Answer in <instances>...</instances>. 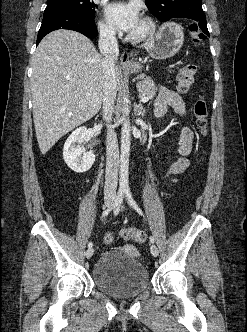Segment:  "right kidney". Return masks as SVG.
I'll return each mask as SVG.
<instances>
[{"instance_id":"right-kidney-1","label":"right kidney","mask_w":247,"mask_h":332,"mask_svg":"<svg viewBox=\"0 0 247 332\" xmlns=\"http://www.w3.org/2000/svg\"><path fill=\"white\" fill-rule=\"evenodd\" d=\"M87 133L86 127H79L70 134L64 144V161L70 169L77 173L88 171L95 161V154L92 151L86 152L81 146Z\"/></svg>"}]
</instances>
